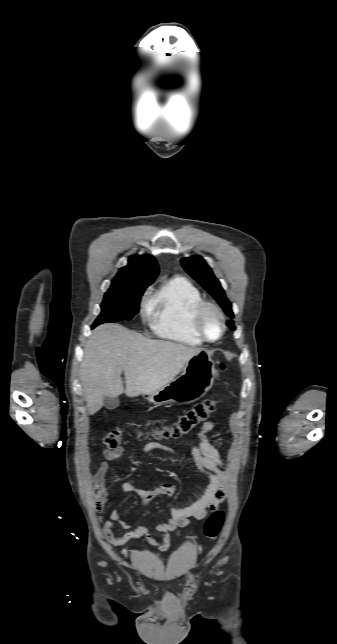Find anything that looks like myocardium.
<instances>
[{
  "label": "myocardium",
  "mask_w": 337,
  "mask_h": 644,
  "mask_svg": "<svg viewBox=\"0 0 337 644\" xmlns=\"http://www.w3.org/2000/svg\"><path fill=\"white\" fill-rule=\"evenodd\" d=\"M208 311H213L219 318L220 332L218 337L215 339L208 338L203 330V326H202L203 319ZM192 327L196 332V334L204 342L215 343L223 337L226 330V320H225L224 313L216 303L212 301L202 300L201 302H199V304L196 306L194 310L193 317H192Z\"/></svg>",
  "instance_id": "1"
}]
</instances>
